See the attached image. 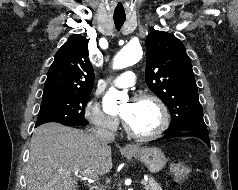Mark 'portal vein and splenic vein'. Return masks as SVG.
<instances>
[{
	"label": "portal vein and splenic vein",
	"mask_w": 238,
	"mask_h": 190,
	"mask_svg": "<svg viewBox=\"0 0 238 190\" xmlns=\"http://www.w3.org/2000/svg\"><path fill=\"white\" fill-rule=\"evenodd\" d=\"M84 177H85V179H98V175L92 171L85 172ZM141 184L146 185L147 181H142Z\"/></svg>",
	"instance_id": "obj_1"
}]
</instances>
